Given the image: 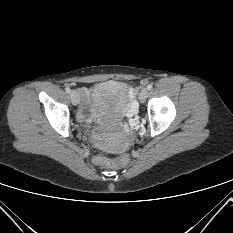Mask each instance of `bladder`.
Wrapping results in <instances>:
<instances>
[{"label":"bladder","instance_id":"1","mask_svg":"<svg viewBox=\"0 0 233 233\" xmlns=\"http://www.w3.org/2000/svg\"><path fill=\"white\" fill-rule=\"evenodd\" d=\"M95 112L106 118H117L121 116L128 107L129 90L128 86L120 81H107L98 84L92 93ZM103 146L119 150V148L107 143Z\"/></svg>","mask_w":233,"mask_h":233}]
</instances>
